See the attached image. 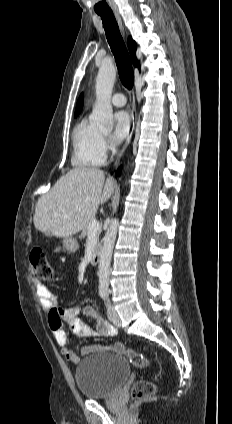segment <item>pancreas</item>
<instances>
[{
  "label": "pancreas",
  "mask_w": 232,
  "mask_h": 424,
  "mask_svg": "<svg viewBox=\"0 0 232 424\" xmlns=\"http://www.w3.org/2000/svg\"><path fill=\"white\" fill-rule=\"evenodd\" d=\"M94 220V218L93 219H91L89 222H88V224H87V226L82 230V233H81V235H80V238H85L86 237V235H88L89 234V227H90V225H91V222ZM100 233H101V230H98L97 232H96V235H95V247L97 248L98 246H99V236H100Z\"/></svg>",
  "instance_id": "obj_1"
}]
</instances>
